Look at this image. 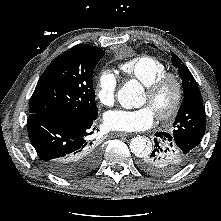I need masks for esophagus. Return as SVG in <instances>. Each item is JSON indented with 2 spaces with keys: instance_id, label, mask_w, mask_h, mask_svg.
Returning a JSON list of instances; mask_svg holds the SVG:
<instances>
[{
  "instance_id": "1",
  "label": "esophagus",
  "mask_w": 221,
  "mask_h": 221,
  "mask_svg": "<svg viewBox=\"0 0 221 221\" xmlns=\"http://www.w3.org/2000/svg\"><path fill=\"white\" fill-rule=\"evenodd\" d=\"M130 134L128 133H123V132H114L112 133V136L114 137H126V136H129Z\"/></svg>"
}]
</instances>
